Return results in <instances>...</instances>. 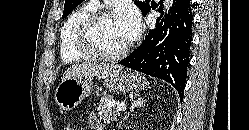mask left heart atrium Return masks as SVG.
I'll list each match as a JSON object with an SVG mask.
<instances>
[{
    "label": "left heart atrium",
    "instance_id": "obj_1",
    "mask_svg": "<svg viewBox=\"0 0 249 130\" xmlns=\"http://www.w3.org/2000/svg\"><path fill=\"white\" fill-rule=\"evenodd\" d=\"M116 17L122 24L128 41L131 42L136 39L141 28L138 11L132 5L124 4L118 9Z\"/></svg>",
    "mask_w": 249,
    "mask_h": 130
}]
</instances>
